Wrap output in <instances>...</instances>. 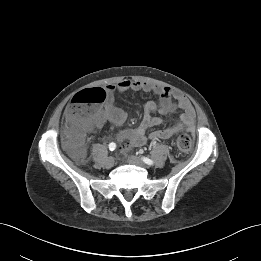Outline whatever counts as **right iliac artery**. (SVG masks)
Masks as SVG:
<instances>
[{
    "instance_id": "82829eb1",
    "label": "right iliac artery",
    "mask_w": 261,
    "mask_h": 261,
    "mask_svg": "<svg viewBox=\"0 0 261 261\" xmlns=\"http://www.w3.org/2000/svg\"><path fill=\"white\" fill-rule=\"evenodd\" d=\"M109 149H110L111 151L115 150V149H116V144H115L114 142L110 143V144H109Z\"/></svg>"
}]
</instances>
